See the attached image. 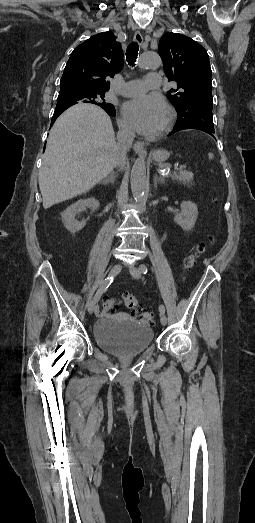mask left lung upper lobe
Wrapping results in <instances>:
<instances>
[{
  "label": "left lung upper lobe",
  "instance_id": "1",
  "mask_svg": "<svg viewBox=\"0 0 255 523\" xmlns=\"http://www.w3.org/2000/svg\"><path fill=\"white\" fill-rule=\"evenodd\" d=\"M158 52L168 80L177 82V89L167 94L178 112L174 129L199 127L213 136L212 71L206 50L187 36L167 33L160 39Z\"/></svg>",
  "mask_w": 255,
  "mask_h": 523
}]
</instances>
